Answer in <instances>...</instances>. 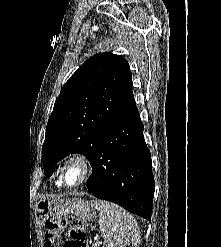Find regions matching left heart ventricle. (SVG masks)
I'll use <instances>...</instances> for the list:
<instances>
[{"label":"left heart ventricle","instance_id":"b2bd125f","mask_svg":"<svg viewBox=\"0 0 221 247\" xmlns=\"http://www.w3.org/2000/svg\"><path fill=\"white\" fill-rule=\"evenodd\" d=\"M80 177H81V171L77 166L72 165L67 169V173H66L67 183L74 184L80 179Z\"/></svg>","mask_w":221,"mask_h":247}]
</instances>
